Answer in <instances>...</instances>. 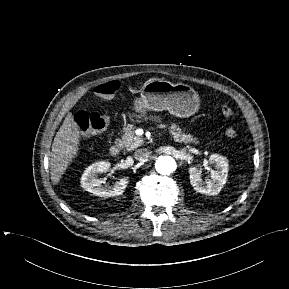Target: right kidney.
Instances as JSON below:
<instances>
[{"instance_id":"right-kidney-1","label":"right kidney","mask_w":289,"mask_h":289,"mask_svg":"<svg viewBox=\"0 0 289 289\" xmlns=\"http://www.w3.org/2000/svg\"><path fill=\"white\" fill-rule=\"evenodd\" d=\"M110 165L108 161H99L86 168L81 177V187L96 196L104 198L121 195L127 187V177L120 179L111 187H103V181L97 178V174L108 171Z\"/></svg>"}]
</instances>
